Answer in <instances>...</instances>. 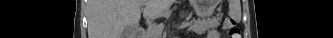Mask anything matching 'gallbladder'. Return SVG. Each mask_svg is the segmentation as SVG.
Listing matches in <instances>:
<instances>
[{
    "instance_id": "gallbladder-1",
    "label": "gallbladder",
    "mask_w": 333,
    "mask_h": 38,
    "mask_svg": "<svg viewBox=\"0 0 333 38\" xmlns=\"http://www.w3.org/2000/svg\"><path fill=\"white\" fill-rule=\"evenodd\" d=\"M121 35L122 38H133L135 36V30L133 27H126Z\"/></svg>"
}]
</instances>
